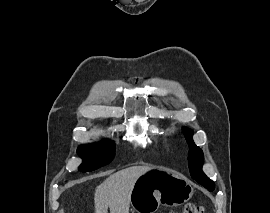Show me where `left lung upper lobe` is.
<instances>
[{"instance_id": "1", "label": "left lung upper lobe", "mask_w": 270, "mask_h": 213, "mask_svg": "<svg viewBox=\"0 0 270 213\" xmlns=\"http://www.w3.org/2000/svg\"><path fill=\"white\" fill-rule=\"evenodd\" d=\"M185 134L187 136L186 140L191 150L188 157L190 174L192 178L195 179L199 184L209 189V191H213L215 188L214 182L210 180L202 171V165L204 161L203 152L194 144L192 140L193 132L187 129L185 130Z\"/></svg>"}]
</instances>
